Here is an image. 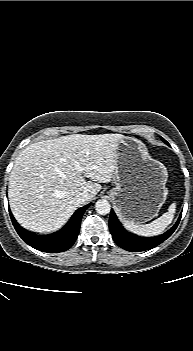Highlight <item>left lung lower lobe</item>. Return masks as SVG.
<instances>
[{
    "label": "left lung lower lobe",
    "mask_w": 193,
    "mask_h": 351,
    "mask_svg": "<svg viewBox=\"0 0 193 351\" xmlns=\"http://www.w3.org/2000/svg\"><path fill=\"white\" fill-rule=\"evenodd\" d=\"M180 218L181 215L176 224L164 234L152 238H143L128 233L118 221L114 211L111 210L109 229L113 240L119 247L130 252H139L152 249L169 238L178 226Z\"/></svg>",
    "instance_id": "0a47b994"
}]
</instances>
